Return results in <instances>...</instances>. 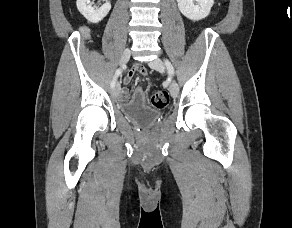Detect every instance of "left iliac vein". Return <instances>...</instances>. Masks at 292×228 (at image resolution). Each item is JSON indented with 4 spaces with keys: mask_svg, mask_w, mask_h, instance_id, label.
<instances>
[{
    "mask_svg": "<svg viewBox=\"0 0 292 228\" xmlns=\"http://www.w3.org/2000/svg\"><path fill=\"white\" fill-rule=\"evenodd\" d=\"M149 66L159 72H164L165 70V64L160 58H156L155 60L149 62ZM169 91L173 98L178 96L179 87L174 79H171L169 83Z\"/></svg>",
    "mask_w": 292,
    "mask_h": 228,
    "instance_id": "4c4485c4",
    "label": "left iliac vein"
}]
</instances>
